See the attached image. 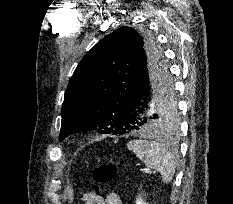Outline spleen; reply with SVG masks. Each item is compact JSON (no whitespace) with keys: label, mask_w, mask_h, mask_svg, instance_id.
<instances>
[{"label":"spleen","mask_w":233,"mask_h":204,"mask_svg":"<svg viewBox=\"0 0 233 204\" xmlns=\"http://www.w3.org/2000/svg\"><path fill=\"white\" fill-rule=\"evenodd\" d=\"M127 146L148 168L160 173L163 183L171 182L177 165L173 149L154 140L142 139L130 141Z\"/></svg>","instance_id":"1"}]
</instances>
